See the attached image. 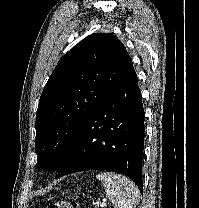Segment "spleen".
I'll list each match as a JSON object with an SVG mask.
<instances>
[{
  "label": "spleen",
  "instance_id": "1",
  "mask_svg": "<svg viewBox=\"0 0 199 208\" xmlns=\"http://www.w3.org/2000/svg\"><path fill=\"white\" fill-rule=\"evenodd\" d=\"M96 178L102 182L106 197L114 208H133L139 203V190L127 177L104 172L97 174Z\"/></svg>",
  "mask_w": 199,
  "mask_h": 208
}]
</instances>
